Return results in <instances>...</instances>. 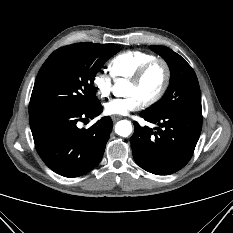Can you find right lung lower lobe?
<instances>
[{"label":"right lung lower lobe","mask_w":233,"mask_h":233,"mask_svg":"<svg viewBox=\"0 0 233 233\" xmlns=\"http://www.w3.org/2000/svg\"><path fill=\"white\" fill-rule=\"evenodd\" d=\"M103 110L99 100L77 111H51L29 115L36 150L43 162L64 177L81 176L101 161L112 130L110 117H103L89 129L78 121L93 119Z\"/></svg>","instance_id":"98d812e1"}]
</instances>
